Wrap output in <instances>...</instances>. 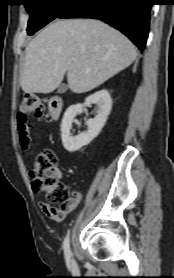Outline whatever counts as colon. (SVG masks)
I'll return each mask as SVG.
<instances>
[{"instance_id":"colon-1","label":"colon","mask_w":174,"mask_h":278,"mask_svg":"<svg viewBox=\"0 0 174 278\" xmlns=\"http://www.w3.org/2000/svg\"><path fill=\"white\" fill-rule=\"evenodd\" d=\"M44 108L43 100L37 96L29 95L23 98L17 113V127L23 149H28L30 145V117L34 115L36 118H42ZM30 174L34 188L44 192L50 203L64 204L68 200L70 191L58 179L56 156L53 151L43 150L38 153L33 160Z\"/></svg>"}]
</instances>
